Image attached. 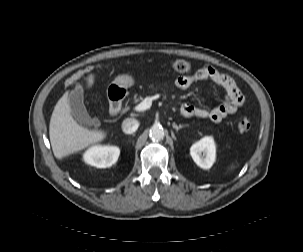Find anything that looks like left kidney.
<instances>
[{
  "label": "left kidney",
  "instance_id": "obj_1",
  "mask_svg": "<svg viewBox=\"0 0 303 252\" xmlns=\"http://www.w3.org/2000/svg\"><path fill=\"white\" fill-rule=\"evenodd\" d=\"M194 162L202 169H209L216 160V145L213 137L205 136L190 148Z\"/></svg>",
  "mask_w": 303,
  "mask_h": 252
}]
</instances>
